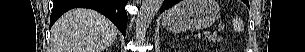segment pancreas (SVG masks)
<instances>
[{"mask_svg":"<svg viewBox=\"0 0 305 52\" xmlns=\"http://www.w3.org/2000/svg\"><path fill=\"white\" fill-rule=\"evenodd\" d=\"M209 41L216 42V41H222V39L221 38H217L216 36H213V37L209 38Z\"/></svg>","mask_w":305,"mask_h":52,"instance_id":"1","label":"pancreas"}]
</instances>
